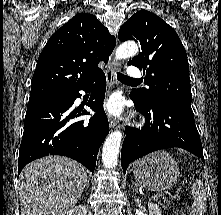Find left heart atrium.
I'll return each mask as SVG.
<instances>
[{
	"label": "left heart atrium",
	"instance_id": "left-heart-atrium-1",
	"mask_svg": "<svg viewBox=\"0 0 221 215\" xmlns=\"http://www.w3.org/2000/svg\"><path fill=\"white\" fill-rule=\"evenodd\" d=\"M105 111L114 116H119L122 113V101L118 96L110 97L104 105Z\"/></svg>",
	"mask_w": 221,
	"mask_h": 215
}]
</instances>
